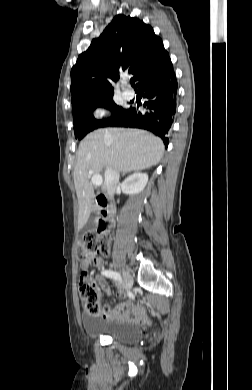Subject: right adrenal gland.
Returning <instances> with one entry per match:
<instances>
[{"label": "right adrenal gland", "instance_id": "right-adrenal-gland-1", "mask_svg": "<svg viewBox=\"0 0 252 390\" xmlns=\"http://www.w3.org/2000/svg\"><path fill=\"white\" fill-rule=\"evenodd\" d=\"M126 174V172H124L123 174H122V176H124Z\"/></svg>", "mask_w": 252, "mask_h": 390}]
</instances>
